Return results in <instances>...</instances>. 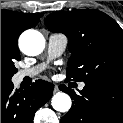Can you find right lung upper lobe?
Wrapping results in <instances>:
<instances>
[{"label":"right lung upper lobe","mask_w":123,"mask_h":123,"mask_svg":"<svg viewBox=\"0 0 123 123\" xmlns=\"http://www.w3.org/2000/svg\"><path fill=\"white\" fill-rule=\"evenodd\" d=\"M43 14H28L9 10H1V26H6L17 38L26 29L34 27Z\"/></svg>","instance_id":"obj_1"}]
</instances>
